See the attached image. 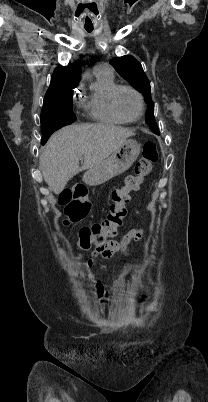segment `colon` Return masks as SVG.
<instances>
[{
    "instance_id": "colon-1",
    "label": "colon",
    "mask_w": 208,
    "mask_h": 402,
    "mask_svg": "<svg viewBox=\"0 0 208 402\" xmlns=\"http://www.w3.org/2000/svg\"><path fill=\"white\" fill-rule=\"evenodd\" d=\"M157 158L158 149L156 144L152 141L146 142L143 146L142 157L135 166V173L125 178L123 186L111 191L108 216L101 221L80 229L76 233L77 243L81 249L89 250L94 244H105L109 235L117 234L127 218L126 205L130 201V195L139 189L142 180L150 174L152 165ZM86 195L87 189L83 183L76 184L71 192L72 197H84ZM91 212L92 207L90 205L67 204L62 224L69 226L74 222H83V214H90Z\"/></svg>"
}]
</instances>
